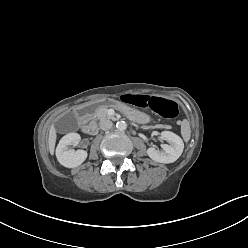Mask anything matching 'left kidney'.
I'll list each match as a JSON object with an SVG mask.
<instances>
[{"instance_id": "5707ae66", "label": "left kidney", "mask_w": 248, "mask_h": 248, "mask_svg": "<svg viewBox=\"0 0 248 248\" xmlns=\"http://www.w3.org/2000/svg\"><path fill=\"white\" fill-rule=\"evenodd\" d=\"M161 138L166 140L169 144H163V150H157L154 147H150L147 150L148 156L160 163H172L175 162L182 154L184 149V143L182 139L173 132L163 131L161 132Z\"/></svg>"}]
</instances>
